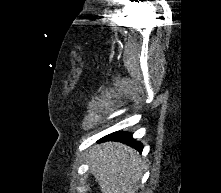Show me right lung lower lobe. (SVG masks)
<instances>
[{
    "instance_id": "1",
    "label": "right lung lower lobe",
    "mask_w": 221,
    "mask_h": 193,
    "mask_svg": "<svg viewBox=\"0 0 221 193\" xmlns=\"http://www.w3.org/2000/svg\"><path fill=\"white\" fill-rule=\"evenodd\" d=\"M105 140H116V141H121L123 143H126L134 148H136L139 151H142L143 146L140 142L134 140L132 138V134L131 133H127V132H115L113 134L107 135L105 136L102 141Z\"/></svg>"
}]
</instances>
